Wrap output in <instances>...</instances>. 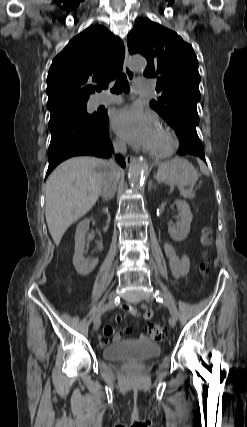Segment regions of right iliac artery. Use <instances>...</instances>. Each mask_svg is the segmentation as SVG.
Segmentation results:
<instances>
[{
    "instance_id": "1",
    "label": "right iliac artery",
    "mask_w": 247,
    "mask_h": 427,
    "mask_svg": "<svg viewBox=\"0 0 247 427\" xmlns=\"http://www.w3.org/2000/svg\"><path fill=\"white\" fill-rule=\"evenodd\" d=\"M115 303H116V300H115ZM113 303H108V304H105V305H103L102 307H100L99 309H98V311H97V313H96V316H98V315H101L102 313H104L105 311H107L108 309H110V308H112L113 307Z\"/></svg>"
}]
</instances>
